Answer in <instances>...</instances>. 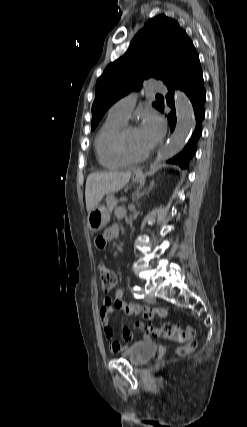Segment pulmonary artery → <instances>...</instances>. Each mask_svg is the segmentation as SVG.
Listing matches in <instances>:
<instances>
[{
    "label": "pulmonary artery",
    "instance_id": "e3ab8cb5",
    "mask_svg": "<svg viewBox=\"0 0 247 427\" xmlns=\"http://www.w3.org/2000/svg\"><path fill=\"white\" fill-rule=\"evenodd\" d=\"M150 89L153 91L163 92L166 88L164 85L158 82H152L150 84ZM136 98V94L134 93L122 97L112 105V107L109 109L108 115L126 121L135 106Z\"/></svg>",
    "mask_w": 247,
    "mask_h": 427
}]
</instances>
